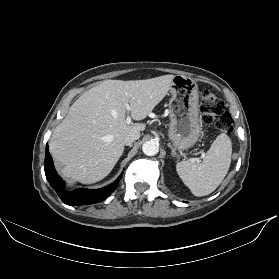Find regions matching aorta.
Listing matches in <instances>:
<instances>
[{"mask_svg":"<svg viewBox=\"0 0 279 279\" xmlns=\"http://www.w3.org/2000/svg\"><path fill=\"white\" fill-rule=\"evenodd\" d=\"M142 151L147 156H154L159 152V145L153 140L146 141L142 145Z\"/></svg>","mask_w":279,"mask_h":279,"instance_id":"obj_1","label":"aorta"}]
</instances>
